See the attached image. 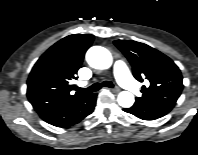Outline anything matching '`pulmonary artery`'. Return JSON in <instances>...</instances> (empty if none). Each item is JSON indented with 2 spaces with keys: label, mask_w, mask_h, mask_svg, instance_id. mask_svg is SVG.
Returning a JSON list of instances; mask_svg holds the SVG:
<instances>
[{
  "label": "pulmonary artery",
  "mask_w": 198,
  "mask_h": 155,
  "mask_svg": "<svg viewBox=\"0 0 198 155\" xmlns=\"http://www.w3.org/2000/svg\"><path fill=\"white\" fill-rule=\"evenodd\" d=\"M112 69L116 79L125 89L130 91H136L138 89V84L131 77L129 70L123 61H115Z\"/></svg>",
  "instance_id": "pulmonary-artery-1"
}]
</instances>
